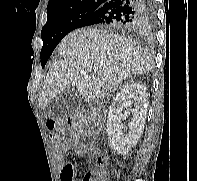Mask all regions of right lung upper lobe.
Returning <instances> with one entry per match:
<instances>
[{"instance_id": "obj_1", "label": "right lung upper lobe", "mask_w": 197, "mask_h": 181, "mask_svg": "<svg viewBox=\"0 0 197 181\" xmlns=\"http://www.w3.org/2000/svg\"><path fill=\"white\" fill-rule=\"evenodd\" d=\"M108 0H50L47 5V15L72 9L87 4L103 5Z\"/></svg>"}]
</instances>
